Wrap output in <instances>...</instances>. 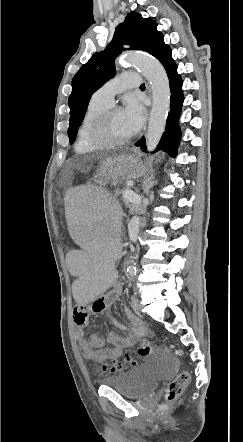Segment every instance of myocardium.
<instances>
[{"instance_id": "myocardium-1", "label": "myocardium", "mask_w": 243, "mask_h": 442, "mask_svg": "<svg viewBox=\"0 0 243 442\" xmlns=\"http://www.w3.org/2000/svg\"><path fill=\"white\" fill-rule=\"evenodd\" d=\"M117 110L121 109L119 107L111 106L103 111L101 114H99L91 122L88 130V135L92 143H94L96 146L100 148L118 147L129 143L133 139L134 134L121 140H108L104 137V132L108 125L109 119L112 114Z\"/></svg>"}]
</instances>
